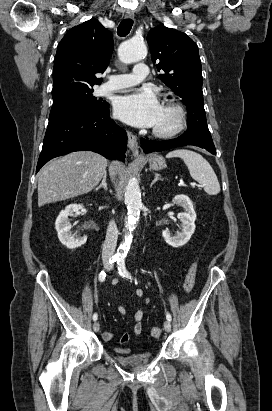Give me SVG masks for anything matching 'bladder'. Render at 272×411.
Segmentation results:
<instances>
[{"instance_id":"obj_1","label":"bladder","mask_w":272,"mask_h":411,"mask_svg":"<svg viewBox=\"0 0 272 411\" xmlns=\"http://www.w3.org/2000/svg\"><path fill=\"white\" fill-rule=\"evenodd\" d=\"M152 353H133L129 355H115L114 360L121 366L135 368L148 364Z\"/></svg>"}]
</instances>
